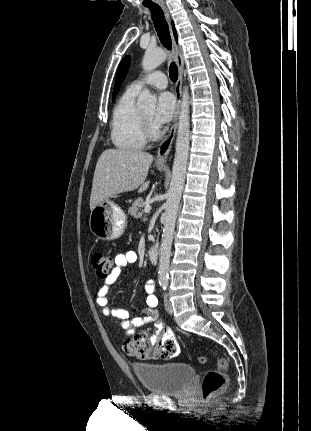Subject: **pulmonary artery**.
Returning <instances> with one entry per match:
<instances>
[{"label": "pulmonary artery", "mask_w": 311, "mask_h": 431, "mask_svg": "<svg viewBox=\"0 0 311 431\" xmlns=\"http://www.w3.org/2000/svg\"><path fill=\"white\" fill-rule=\"evenodd\" d=\"M168 85L167 76L160 70H156L144 78L136 80L129 85V89L133 92H139L144 87H154L164 89Z\"/></svg>", "instance_id": "e3ab8cb5"}]
</instances>
